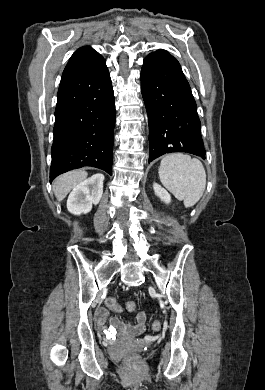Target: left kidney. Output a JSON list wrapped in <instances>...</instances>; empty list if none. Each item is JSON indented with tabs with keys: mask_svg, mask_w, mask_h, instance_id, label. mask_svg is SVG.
Segmentation results:
<instances>
[{
	"mask_svg": "<svg viewBox=\"0 0 265 390\" xmlns=\"http://www.w3.org/2000/svg\"><path fill=\"white\" fill-rule=\"evenodd\" d=\"M153 189H154V192L155 194L163 201L165 202L166 204H169L171 202V196L170 194L167 192V190H165L162 186H160L159 184L157 183H154L153 184Z\"/></svg>",
	"mask_w": 265,
	"mask_h": 390,
	"instance_id": "obj_1",
	"label": "left kidney"
}]
</instances>
